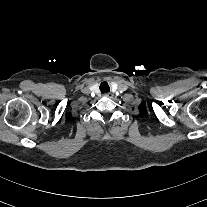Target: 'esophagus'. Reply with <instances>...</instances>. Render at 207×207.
Masks as SVG:
<instances>
[{
    "label": "esophagus",
    "instance_id": "obj_1",
    "mask_svg": "<svg viewBox=\"0 0 207 207\" xmlns=\"http://www.w3.org/2000/svg\"><path fill=\"white\" fill-rule=\"evenodd\" d=\"M103 95H104L105 97H108V98H110V97L112 96V94H111L110 92L104 93Z\"/></svg>",
    "mask_w": 207,
    "mask_h": 207
}]
</instances>
